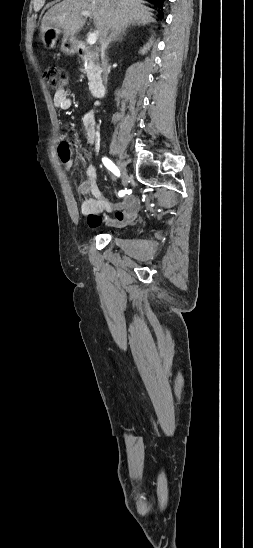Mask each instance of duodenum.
<instances>
[{"instance_id": "obj_1", "label": "duodenum", "mask_w": 253, "mask_h": 548, "mask_svg": "<svg viewBox=\"0 0 253 548\" xmlns=\"http://www.w3.org/2000/svg\"><path fill=\"white\" fill-rule=\"evenodd\" d=\"M79 53L83 56L89 54V51L86 49V48H80L79 49ZM92 94L95 96V97H102L104 96L105 94V89L103 86L101 85H95L93 88H92Z\"/></svg>"}]
</instances>
